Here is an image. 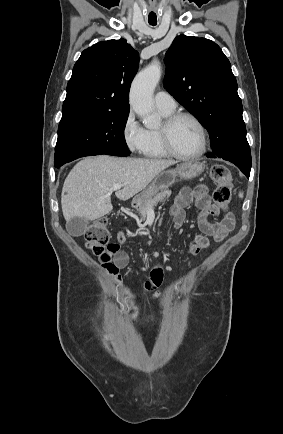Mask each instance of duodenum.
<instances>
[{
    "mask_svg": "<svg viewBox=\"0 0 283 434\" xmlns=\"http://www.w3.org/2000/svg\"><path fill=\"white\" fill-rule=\"evenodd\" d=\"M136 202H137V201H134V203H133V204H136Z\"/></svg>",
    "mask_w": 283,
    "mask_h": 434,
    "instance_id": "obj_1",
    "label": "duodenum"
}]
</instances>
